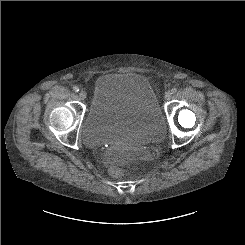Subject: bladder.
Returning a JSON list of instances; mask_svg holds the SVG:
<instances>
[{
	"label": "bladder",
	"instance_id": "31cf9c89",
	"mask_svg": "<svg viewBox=\"0 0 245 245\" xmlns=\"http://www.w3.org/2000/svg\"><path fill=\"white\" fill-rule=\"evenodd\" d=\"M165 118L148 79L135 72H110L93 84L81 136L90 146L146 143L163 134Z\"/></svg>",
	"mask_w": 245,
	"mask_h": 245
}]
</instances>
